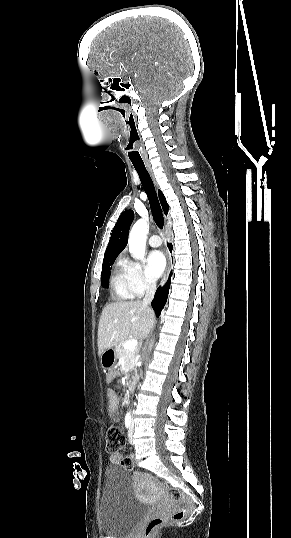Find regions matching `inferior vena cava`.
<instances>
[{
    "label": "inferior vena cava",
    "mask_w": 291,
    "mask_h": 538,
    "mask_svg": "<svg viewBox=\"0 0 291 538\" xmlns=\"http://www.w3.org/2000/svg\"><path fill=\"white\" fill-rule=\"evenodd\" d=\"M155 292H156V283L153 280H149L146 286L145 297L143 298V301H142L144 306H148L151 304Z\"/></svg>",
    "instance_id": "obj_1"
}]
</instances>
